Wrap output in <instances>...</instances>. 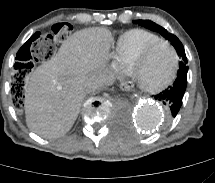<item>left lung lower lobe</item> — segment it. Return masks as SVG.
<instances>
[{
	"instance_id": "1",
	"label": "left lung lower lobe",
	"mask_w": 215,
	"mask_h": 183,
	"mask_svg": "<svg viewBox=\"0 0 215 183\" xmlns=\"http://www.w3.org/2000/svg\"><path fill=\"white\" fill-rule=\"evenodd\" d=\"M187 71L188 67L186 65L180 67L173 85L155 96L156 100L162 102L167 107L169 120L175 117L181 108L187 86Z\"/></svg>"
}]
</instances>
